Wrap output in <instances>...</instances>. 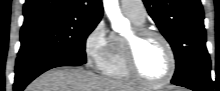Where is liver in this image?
<instances>
[{
    "label": "liver",
    "instance_id": "6515ba94",
    "mask_svg": "<svg viewBox=\"0 0 220 91\" xmlns=\"http://www.w3.org/2000/svg\"><path fill=\"white\" fill-rule=\"evenodd\" d=\"M25 91H137L132 85L98 76L82 68L51 69L29 84Z\"/></svg>",
    "mask_w": 220,
    "mask_h": 91
}]
</instances>
